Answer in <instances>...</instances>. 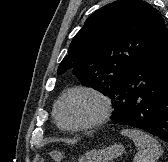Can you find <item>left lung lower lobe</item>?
I'll use <instances>...</instances> for the list:
<instances>
[{
    "mask_svg": "<svg viewBox=\"0 0 168 162\" xmlns=\"http://www.w3.org/2000/svg\"><path fill=\"white\" fill-rule=\"evenodd\" d=\"M114 124L143 129L168 142V29L164 27L112 97Z\"/></svg>",
    "mask_w": 168,
    "mask_h": 162,
    "instance_id": "1",
    "label": "left lung lower lobe"
}]
</instances>
